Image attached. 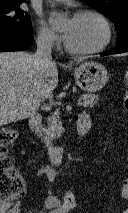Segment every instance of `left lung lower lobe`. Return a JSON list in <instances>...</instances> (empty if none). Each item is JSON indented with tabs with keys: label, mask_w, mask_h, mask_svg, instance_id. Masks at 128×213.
Returning a JSON list of instances; mask_svg holds the SVG:
<instances>
[{
	"label": "left lung lower lobe",
	"mask_w": 128,
	"mask_h": 213,
	"mask_svg": "<svg viewBox=\"0 0 128 213\" xmlns=\"http://www.w3.org/2000/svg\"><path fill=\"white\" fill-rule=\"evenodd\" d=\"M123 52H128V41L123 42L120 45H117L115 48L101 53L102 56L105 55H110V54H118V53H123Z\"/></svg>",
	"instance_id": "0a47b994"
}]
</instances>
